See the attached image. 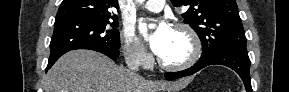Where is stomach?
I'll list each match as a JSON object with an SVG mask.
<instances>
[{"label": "stomach", "mask_w": 289, "mask_h": 92, "mask_svg": "<svg viewBox=\"0 0 289 92\" xmlns=\"http://www.w3.org/2000/svg\"><path fill=\"white\" fill-rule=\"evenodd\" d=\"M168 92H176V90H174V91H168Z\"/></svg>", "instance_id": "0dacf381"}]
</instances>
